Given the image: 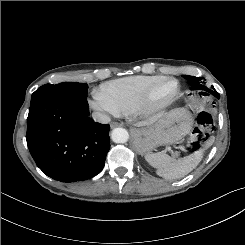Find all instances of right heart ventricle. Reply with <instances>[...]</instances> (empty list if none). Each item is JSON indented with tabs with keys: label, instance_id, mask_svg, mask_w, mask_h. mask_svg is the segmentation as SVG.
Wrapping results in <instances>:
<instances>
[{
	"label": "right heart ventricle",
	"instance_id": "1",
	"mask_svg": "<svg viewBox=\"0 0 245 245\" xmlns=\"http://www.w3.org/2000/svg\"><path fill=\"white\" fill-rule=\"evenodd\" d=\"M161 75H136L105 82L99 92L117 109L119 115L135 112L146 92L159 81Z\"/></svg>",
	"mask_w": 245,
	"mask_h": 245
}]
</instances>
